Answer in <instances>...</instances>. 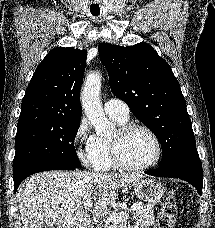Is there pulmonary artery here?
Here are the masks:
<instances>
[{
    "mask_svg": "<svg viewBox=\"0 0 215 228\" xmlns=\"http://www.w3.org/2000/svg\"><path fill=\"white\" fill-rule=\"evenodd\" d=\"M105 111L109 115H115L122 119H128L129 118V107L128 105L119 99H109L105 103Z\"/></svg>",
    "mask_w": 215,
    "mask_h": 228,
    "instance_id": "e3ab8cb5",
    "label": "pulmonary artery"
}]
</instances>
